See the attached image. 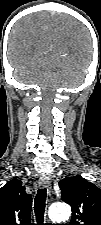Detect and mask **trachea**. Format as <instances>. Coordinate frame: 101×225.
Wrapping results in <instances>:
<instances>
[{"label":"trachea","instance_id":"trachea-1","mask_svg":"<svg viewBox=\"0 0 101 225\" xmlns=\"http://www.w3.org/2000/svg\"><path fill=\"white\" fill-rule=\"evenodd\" d=\"M46 188H41L37 191L35 202H34V212L38 225H44V213L46 206Z\"/></svg>","mask_w":101,"mask_h":225}]
</instances>
